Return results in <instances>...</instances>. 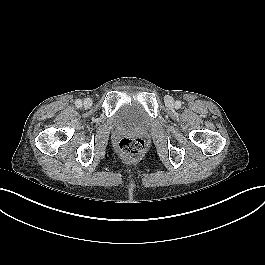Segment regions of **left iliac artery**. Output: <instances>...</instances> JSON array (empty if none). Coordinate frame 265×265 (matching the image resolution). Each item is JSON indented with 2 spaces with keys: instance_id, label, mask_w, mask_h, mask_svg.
<instances>
[{
  "instance_id": "left-iliac-artery-1",
  "label": "left iliac artery",
  "mask_w": 265,
  "mask_h": 265,
  "mask_svg": "<svg viewBox=\"0 0 265 265\" xmlns=\"http://www.w3.org/2000/svg\"><path fill=\"white\" fill-rule=\"evenodd\" d=\"M175 107H176L177 109H179V108L181 107V102H180V101H176V102H175Z\"/></svg>"
}]
</instances>
